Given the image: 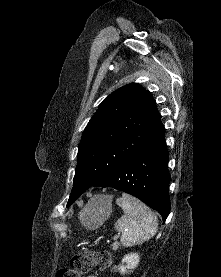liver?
Listing matches in <instances>:
<instances>
[{"label":"liver","instance_id":"6515ba94","mask_svg":"<svg viewBox=\"0 0 221 277\" xmlns=\"http://www.w3.org/2000/svg\"><path fill=\"white\" fill-rule=\"evenodd\" d=\"M103 198H106L107 200H109V201H111V196H105V197H103Z\"/></svg>","mask_w":221,"mask_h":277}]
</instances>
